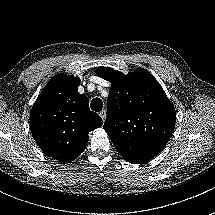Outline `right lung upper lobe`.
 Wrapping results in <instances>:
<instances>
[{
    "mask_svg": "<svg viewBox=\"0 0 215 215\" xmlns=\"http://www.w3.org/2000/svg\"><path fill=\"white\" fill-rule=\"evenodd\" d=\"M80 78L55 75L43 88L30 113V127L39 148L60 162L76 159L85 149L88 133L103 124L79 94Z\"/></svg>",
    "mask_w": 215,
    "mask_h": 215,
    "instance_id": "cb5924a9",
    "label": "right lung upper lobe"
}]
</instances>
